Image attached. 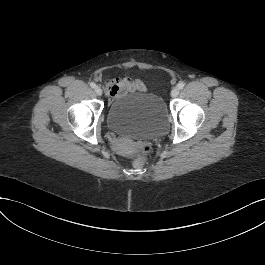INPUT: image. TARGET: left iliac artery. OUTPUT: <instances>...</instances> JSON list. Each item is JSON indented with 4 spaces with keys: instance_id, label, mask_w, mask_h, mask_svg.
Returning <instances> with one entry per match:
<instances>
[{
    "instance_id": "obj_1",
    "label": "left iliac artery",
    "mask_w": 265,
    "mask_h": 265,
    "mask_svg": "<svg viewBox=\"0 0 265 265\" xmlns=\"http://www.w3.org/2000/svg\"><path fill=\"white\" fill-rule=\"evenodd\" d=\"M184 86H185L184 82H179L177 85L179 89H183Z\"/></svg>"
}]
</instances>
